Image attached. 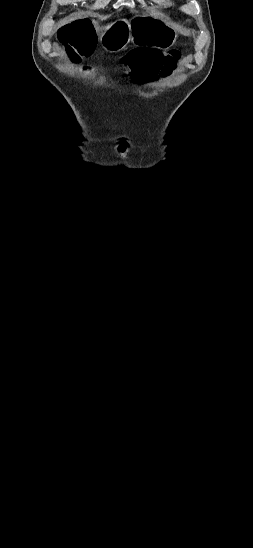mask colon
I'll use <instances>...</instances> for the list:
<instances>
[{
  "mask_svg": "<svg viewBox=\"0 0 253 548\" xmlns=\"http://www.w3.org/2000/svg\"><path fill=\"white\" fill-rule=\"evenodd\" d=\"M60 40L66 45L70 57L77 61L79 56L90 51L95 43V35L85 19H77L64 25L59 32ZM180 54L172 50L165 54L164 49H132L125 56L124 61L129 73L125 75L127 82H132L139 74L141 79H147V93H156V79L159 74H169L175 66Z\"/></svg>",
  "mask_w": 253,
  "mask_h": 548,
  "instance_id": "obj_1",
  "label": "colon"
}]
</instances>
